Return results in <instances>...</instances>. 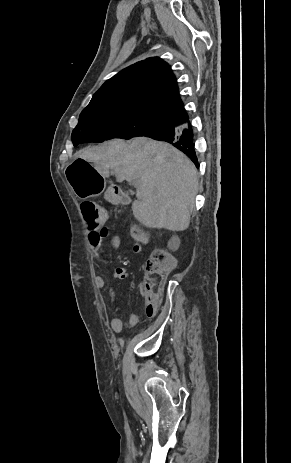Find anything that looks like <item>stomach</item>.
Listing matches in <instances>:
<instances>
[{"label":"stomach","mask_w":291,"mask_h":463,"mask_svg":"<svg viewBox=\"0 0 291 463\" xmlns=\"http://www.w3.org/2000/svg\"><path fill=\"white\" fill-rule=\"evenodd\" d=\"M66 176L67 182L71 184L74 193L80 199L96 196L104 191L102 175L94 165L85 160L77 159L75 162H70L66 169ZM105 197L110 201L113 200L110 191L106 192Z\"/></svg>","instance_id":"1"}]
</instances>
